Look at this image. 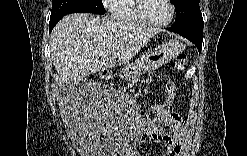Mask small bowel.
<instances>
[{"label":"small bowel","mask_w":247,"mask_h":156,"mask_svg":"<svg viewBox=\"0 0 247 156\" xmlns=\"http://www.w3.org/2000/svg\"><path fill=\"white\" fill-rule=\"evenodd\" d=\"M166 113H168V118H165L163 124L160 125H163L168 132L160 130V134L153 140L165 145V155H178L183 150L182 141L185 137V127L180 115L174 112ZM131 155H140V153L133 151Z\"/></svg>","instance_id":"c3829d8e"}]
</instances>
